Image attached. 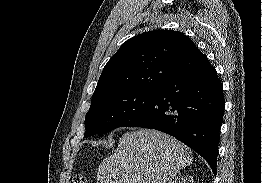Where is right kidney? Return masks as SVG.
Instances as JSON below:
<instances>
[{"instance_id":"1","label":"right kidney","mask_w":262,"mask_h":183,"mask_svg":"<svg viewBox=\"0 0 262 183\" xmlns=\"http://www.w3.org/2000/svg\"><path fill=\"white\" fill-rule=\"evenodd\" d=\"M192 181V182H191ZM171 183H193V180L191 178V176H186V177H177L175 178V180Z\"/></svg>"}]
</instances>
